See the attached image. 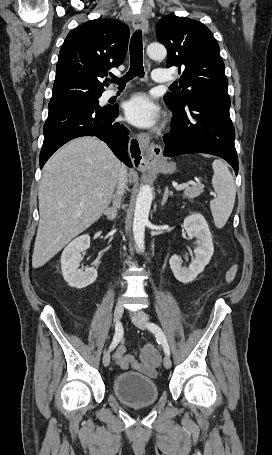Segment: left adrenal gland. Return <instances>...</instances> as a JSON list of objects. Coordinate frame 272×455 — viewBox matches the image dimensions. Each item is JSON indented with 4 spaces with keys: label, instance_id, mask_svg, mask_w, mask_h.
Instances as JSON below:
<instances>
[{
    "label": "left adrenal gland",
    "instance_id": "left-adrenal-gland-1",
    "mask_svg": "<svg viewBox=\"0 0 272 455\" xmlns=\"http://www.w3.org/2000/svg\"><path fill=\"white\" fill-rule=\"evenodd\" d=\"M169 196H172V192H170L168 190V187L165 188V192H164V196H163V199H162V202H161V205L164 206L165 203L167 202V199Z\"/></svg>",
    "mask_w": 272,
    "mask_h": 455
}]
</instances>
